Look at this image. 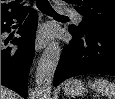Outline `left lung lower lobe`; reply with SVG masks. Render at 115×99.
Listing matches in <instances>:
<instances>
[{
	"label": "left lung lower lobe",
	"instance_id": "1",
	"mask_svg": "<svg viewBox=\"0 0 115 99\" xmlns=\"http://www.w3.org/2000/svg\"><path fill=\"white\" fill-rule=\"evenodd\" d=\"M72 40L64 45L53 85L86 74L115 76V35L87 32L78 35L69 29Z\"/></svg>",
	"mask_w": 115,
	"mask_h": 99
}]
</instances>
